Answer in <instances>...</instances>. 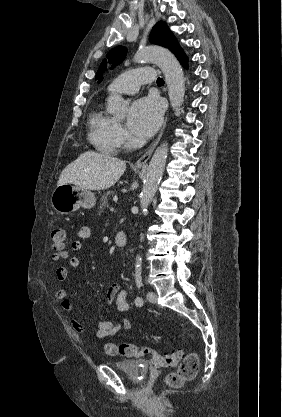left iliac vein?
Returning <instances> with one entry per match:
<instances>
[{"label":"left iliac vein","instance_id":"1","mask_svg":"<svg viewBox=\"0 0 282 417\" xmlns=\"http://www.w3.org/2000/svg\"><path fill=\"white\" fill-rule=\"evenodd\" d=\"M146 297L150 303H156L157 301V295L155 292H148Z\"/></svg>","mask_w":282,"mask_h":417}]
</instances>
